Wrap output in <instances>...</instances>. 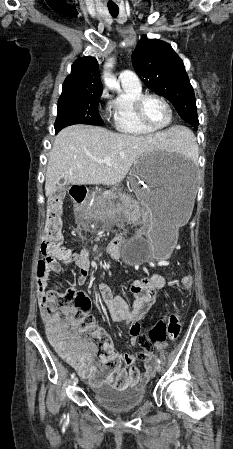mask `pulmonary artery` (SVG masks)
Returning <instances> with one entry per match:
<instances>
[{
    "label": "pulmonary artery",
    "instance_id": "obj_1",
    "mask_svg": "<svg viewBox=\"0 0 233 449\" xmlns=\"http://www.w3.org/2000/svg\"><path fill=\"white\" fill-rule=\"evenodd\" d=\"M119 81L123 85L141 87V82L138 76L131 70L122 71L119 75Z\"/></svg>",
    "mask_w": 233,
    "mask_h": 449
}]
</instances>
